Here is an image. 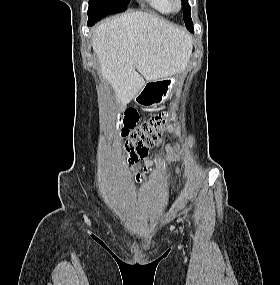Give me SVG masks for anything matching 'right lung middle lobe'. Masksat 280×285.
Masks as SVG:
<instances>
[{
  "instance_id": "obj_1",
  "label": "right lung middle lobe",
  "mask_w": 280,
  "mask_h": 285,
  "mask_svg": "<svg viewBox=\"0 0 280 285\" xmlns=\"http://www.w3.org/2000/svg\"><path fill=\"white\" fill-rule=\"evenodd\" d=\"M128 0H90L88 24L94 25L101 18L126 10Z\"/></svg>"
}]
</instances>
